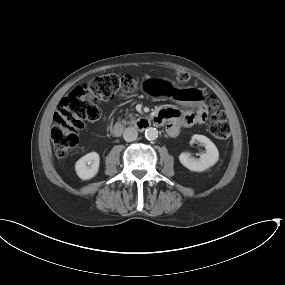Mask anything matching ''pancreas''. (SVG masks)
<instances>
[{
    "mask_svg": "<svg viewBox=\"0 0 285 285\" xmlns=\"http://www.w3.org/2000/svg\"><path fill=\"white\" fill-rule=\"evenodd\" d=\"M128 117L131 119V122H135L134 117L132 116V114L128 115Z\"/></svg>",
    "mask_w": 285,
    "mask_h": 285,
    "instance_id": "cf45deb5",
    "label": "pancreas"
}]
</instances>
